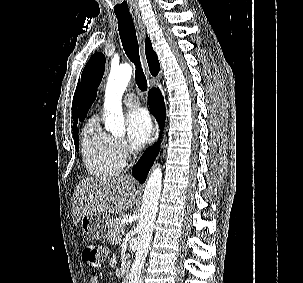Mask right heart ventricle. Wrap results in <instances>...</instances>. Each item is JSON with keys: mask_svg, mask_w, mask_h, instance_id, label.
<instances>
[{"mask_svg": "<svg viewBox=\"0 0 303 283\" xmlns=\"http://www.w3.org/2000/svg\"><path fill=\"white\" fill-rule=\"evenodd\" d=\"M114 137L106 133L96 115L85 124L81 135V149L87 171L98 178L118 175L125 161L118 153Z\"/></svg>", "mask_w": 303, "mask_h": 283, "instance_id": "1", "label": "right heart ventricle"}]
</instances>
